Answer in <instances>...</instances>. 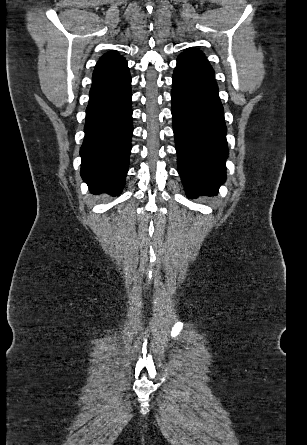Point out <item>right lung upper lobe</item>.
<instances>
[{
  "instance_id": "right-lung-upper-lobe-1",
  "label": "right lung upper lobe",
  "mask_w": 307,
  "mask_h": 445,
  "mask_svg": "<svg viewBox=\"0 0 307 445\" xmlns=\"http://www.w3.org/2000/svg\"><path fill=\"white\" fill-rule=\"evenodd\" d=\"M125 63H126V61L121 55H119L115 51H111V52L103 55L99 59L97 65L95 67V70L93 72V75H97L100 73H104V72L113 70L116 67L123 65Z\"/></svg>"
}]
</instances>
